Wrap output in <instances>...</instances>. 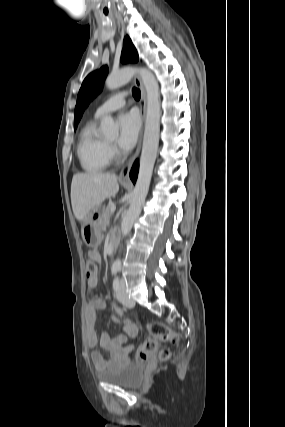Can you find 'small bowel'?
Wrapping results in <instances>:
<instances>
[{
  "instance_id": "c3829d8e",
  "label": "small bowel",
  "mask_w": 285,
  "mask_h": 427,
  "mask_svg": "<svg viewBox=\"0 0 285 427\" xmlns=\"http://www.w3.org/2000/svg\"><path fill=\"white\" fill-rule=\"evenodd\" d=\"M91 259L96 262L101 261V256L97 251H91L89 253ZM98 281L96 278L88 280V288L93 294V290L96 288ZM112 307L118 314V317H112V320L123 324L122 332L117 334L109 333L101 324L100 334L98 336L95 326L97 322V314L100 310L106 307ZM138 332L137 326L130 322L128 319L121 317L120 310L116 307L113 302H106L101 299L92 298L85 311V338L89 348H95L98 344L109 353V359L106 360L101 352L92 351L91 361L94 364L96 370L102 371L107 368L121 367L127 364L128 356L134 351V346L129 345L122 347L126 342L127 337L136 336Z\"/></svg>"
}]
</instances>
